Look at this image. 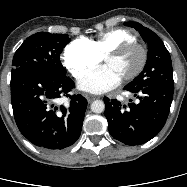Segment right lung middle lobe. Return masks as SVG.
<instances>
[{
  "mask_svg": "<svg viewBox=\"0 0 187 187\" xmlns=\"http://www.w3.org/2000/svg\"><path fill=\"white\" fill-rule=\"evenodd\" d=\"M70 41L66 34L38 32L28 37L15 52L12 73L19 70L65 75L60 54Z\"/></svg>",
  "mask_w": 187,
  "mask_h": 187,
  "instance_id": "dd1d6c3e",
  "label": "right lung middle lobe"
}]
</instances>
